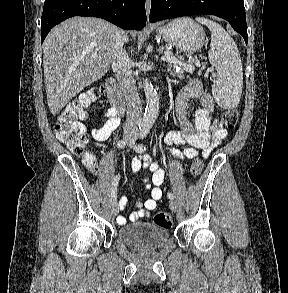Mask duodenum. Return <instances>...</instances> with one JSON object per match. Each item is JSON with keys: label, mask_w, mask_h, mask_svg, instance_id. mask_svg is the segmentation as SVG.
<instances>
[{"label": "duodenum", "mask_w": 288, "mask_h": 293, "mask_svg": "<svg viewBox=\"0 0 288 293\" xmlns=\"http://www.w3.org/2000/svg\"><path fill=\"white\" fill-rule=\"evenodd\" d=\"M107 96L109 98L110 104L113 108L121 109L124 106V97L120 91L116 81L113 78H109L105 84Z\"/></svg>", "instance_id": "1"}]
</instances>
